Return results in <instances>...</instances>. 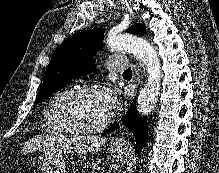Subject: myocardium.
<instances>
[{
    "label": "myocardium",
    "mask_w": 219,
    "mask_h": 173,
    "mask_svg": "<svg viewBox=\"0 0 219 173\" xmlns=\"http://www.w3.org/2000/svg\"><path fill=\"white\" fill-rule=\"evenodd\" d=\"M99 93L98 89L93 86H81L71 90L62 100L59 107V116L62 124L71 132L77 135H90L104 130L111 121V114L98 125L92 127H83L77 124L72 116L71 108L74 102L87 94Z\"/></svg>",
    "instance_id": "f54148a6"
}]
</instances>
